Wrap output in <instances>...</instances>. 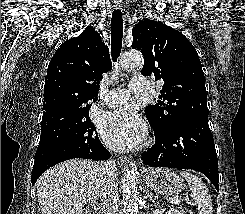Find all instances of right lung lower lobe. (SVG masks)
Wrapping results in <instances>:
<instances>
[{"instance_id": "obj_1", "label": "right lung lower lobe", "mask_w": 245, "mask_h": 214, "mask_svg": "<svg viewBox=\"0 0 245 214\" xmlns=\"http://www.w3.org/2000/svg\"><path fill=\"white\" fill-rule=\"evenodd\" d=\"M36 153L40 156L35 159L34 167L32 170L31 181L34 185L40 175L49 167L72 158H88L94 160H107L110 158V153L102 145L98 136L97 141L88 147L87 151H74L64 148L63 146L52 145H39ZM51 162H46V161Z\"/></svg>"}]
</instances>
